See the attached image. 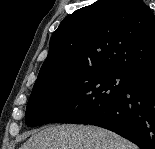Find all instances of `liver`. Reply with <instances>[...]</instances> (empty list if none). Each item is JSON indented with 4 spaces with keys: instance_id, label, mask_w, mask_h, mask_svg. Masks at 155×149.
<instances>
[{
    "instance_id": "6515ba94",
    "label": "liver",
    "mask_w": 155,
    "mask_h": 149,
    "mask_svg": "<svg viewBox=\"0 0 155 149\" xmlns=\"http://www.w3.org/2000/svg\"><path fill=\"white\" fill-rule=\"evenodd\" d=\"M20 149H138L123 137L103 128L83 125L46 127Z\"/></svg>"
}]
</instances>
